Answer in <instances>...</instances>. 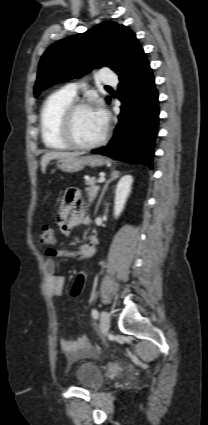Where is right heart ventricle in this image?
I'll return each instance as SVG.
<instances>
[{
    "instance_id": "right-heart-ventricle-1",
    "label": "right heart ventricle",
    "mask_w": 208,
    "mask_h": 425,
    "mask_svg": "<svg viewBox=\"0 0 208 425\" xmlns=\"http://www.w3.org/2000/svg\"><path fill=\"white\" fill-rule=\"evenodd\" d=\"M74 98L63 91L51 94L44 102L40 112V132L44 145L51 150H67L71 147L60 135V122L65 109Z\"/></svg>"
}]
</instances>
